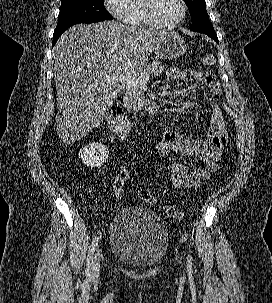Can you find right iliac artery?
<instances>
[{
	"instance_id": "1",
	"label": "right iliac artery",
	"mask_w": 272,
	"mask_h": 303,
	"mask_svg": "<svg viewBox=\"0 0 272 303\" xmlns=\"http://www.w3.org/2000/svg\"><path fill=\"white\" fill-rule=\"evenodd\" d=\"M98 242H99V237H95L89 248L88 256H87V265H86V270H85L86 274H89L91 262L93 261V255H94L95 249L98 245Z\"/></svg>"
}]
</instances>
